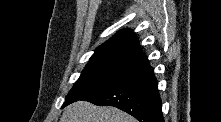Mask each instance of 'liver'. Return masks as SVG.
I'll return each instance as SVG.
<instances>
[{
	"label": "liver",
	"instance_id": "6515ba94",
	"mask_svg": "<svg viewBox=\"0 0 221 122\" xmlns=\"http://www.w3.org/2000/svg\"><path fill=\"white\" fill-rule=\"evenodd\" d=\"M60 122H136V119L115 107L77 101L65 108Z\"/></svg>",
	"mask_w": 221,
	"mask_h": 122
}]
</instances>
